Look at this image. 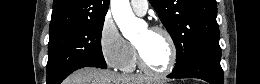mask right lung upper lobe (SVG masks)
Here are the masks:
<instances>
[{
  "instance_id": "right-lung-upper-lobe-1",
  "label": "right lung upper lobe",
  "mask_w": 260,
  "mask_h": 84,
  "mask_svg": "<svg viewBox=\"0 0 260 84\" xmlns=\"http://www.w3.org/2000/svg\"><path fill=\"white\" fill-rule=\"evenodd\" d=\"M109 0H54L50 31L83 20L105 18Z\"/></svg>"
}]
</instances>
